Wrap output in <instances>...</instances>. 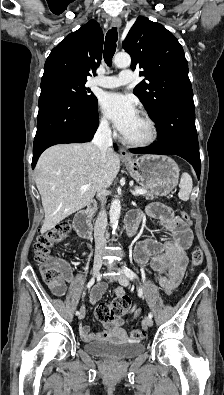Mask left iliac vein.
I'll list each match as a JSON object with an SVG mask.
<instances>
[{"label": "left iliac vein", "mask_w": 224, "mask_h": 395, "mask_svg": "<svg viewBox=\"0 0 224 395\" xmlns=\"http://www.w3.org/2000/svg\"><path fill=\"white\" fill-rule=\"evenodd\" d=\"M116 270L119 272L118 275V281L122 286H128L129 285V279L128 277L118 268H116ZM143 324L146 327H151L153 325V321L152 318H150L149 316L145 317Z\"/></svg>", "instance_id": "1"}]
</instances>
